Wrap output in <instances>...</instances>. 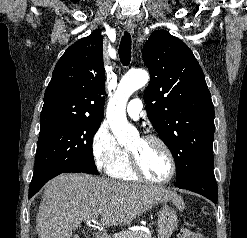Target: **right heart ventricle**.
I'll use <instances>...</instances> for the list:
<instances>
[{
	"mask_svg": "<svg viewBox=\"0 0 247 238\" xmlns=\"http://www.w3.org/2000/svg\"><path fill=\"white\" fill-rule=\"evenodd\" d=\"M108 174L115 179L123 181H136L138 178L131 167L129 154L125 151V155L115 164Z\"/></svg>",
	"mask_w": 247,
	"mask_h": 238,
	"instance_id": "1",
	"label": "right heart ventricle"
}]
</instances>
